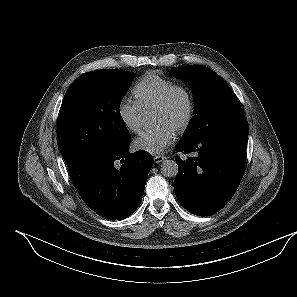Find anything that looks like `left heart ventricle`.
Here are the masks:
<instances>
[{
    "label": "left heart ventricle",
    "mask_w": 297,
    "mask_h": 297,
    "mask_svg": "<svg viewBox=\"0 0 297 297\" xmlns=\"http://www.w3.org/2000/svg\"><path fill=\"white\" fill-rule=\"evenodd\" d=\"M184 98L178 95L170 110H154V122L156 124L167 123L175 129L176 123L184 112Z\"/></svg>",
    "instance_id": "left-heart-ventricle-1"
}]
</instances>
